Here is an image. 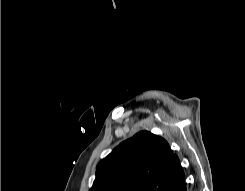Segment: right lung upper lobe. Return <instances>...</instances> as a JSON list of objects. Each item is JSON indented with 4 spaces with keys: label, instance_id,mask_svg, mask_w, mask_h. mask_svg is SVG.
Instances as JSON below:
<instances>
[{
    "label": "right lung upper lobe",
    "instance_id": "right-lung-upper-lobe-1",
    "mask_svg": "<svg viewBox=\"0 0 245 191\" xmlns=\"http://www.w3.org/2000/svg\"><path fill=\"white\" fill-rule=\"evenodd\" d=\"M182 180L179 158L167 141L141 131L99 162L89 191H169Z\"/></svg>",
    "mask_w": 245,
    "mask_h": 191
}]
</instances>
